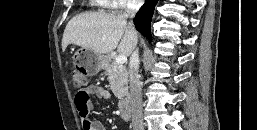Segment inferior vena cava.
<instances>
[{
    "instance_id": "inferior-vena-cava-1",
    "label": "inferior vena cava",
    "mask_w": 257,
    "mask_h": 130,
    "mask_svg": "<svg viewBox=\"0 0 257 130\" xmlns=\"http://www.w3.org/2000/svg\"><path fill=\"white\" fill-rule=\"evenodd\" d=\"M142 4V0H132L131 4L128 6L127 11L124 13L123 17L125 19H133ZM128 28L133 33L134 36V49L130 56L129 62V83H130V105H131V115H132V127L133 130H144L143 127V117H142V93L141 84L139 80L138 70H139V55L137 46V32L135 30L132 21L128 23Z\"/></svg>"
}]
</instances>
